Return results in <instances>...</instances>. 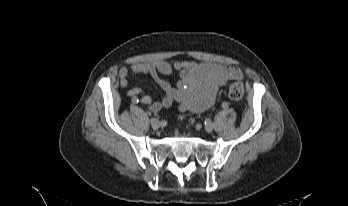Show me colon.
<instances>
[{"label":"colon","instance_id":"obj_1","mask_svg":"<svg viewBox=\"0 0 348 206\" xmlns=\"http://www.w3.org/2000/svg\"><path fill=\"white\" fill-rule=\"evenodd\" d=\"M229 98L233 101H240L244 96V87L242 83L235 82L229 86L228 89Z\"/></svg>","mask_w":348,"mask_h":206}]
</instances>
